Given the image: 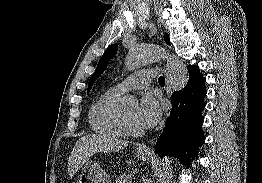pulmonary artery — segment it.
Returning <instances> with one entry per match:
<instances>
[{"label":"pulmonary artery","instance_id":"e3ab8cb5","mask_svg":"<svg viewBox=\"0 0 262 183\" xmlns=\"http://www.w3.org/2000/svg\"><path fill=\"white\" fill-rule=\"evenodd\" d=\"M155 75L154 70H140L137 71L130 76H128L126 79H124L122 82L118 83L116 86H114V90L120 93H123L130 89H141L149 86L151 83L153 77Z\"/></svg>","mask_w":262,"mask_h":183}]
</instances>
